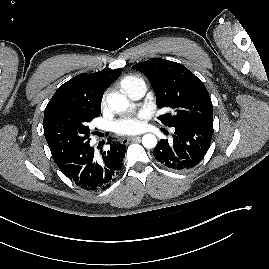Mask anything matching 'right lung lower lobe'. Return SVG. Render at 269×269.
<instances>
[{"mask_svg":"<svg viewBox=\"0 0 269 269\" xmlns=\"http://www.w3.org/2000/svg\"><path fill=\"white\" fill-rule=\"evenodd\" d=\"M108 141L110 149L101 157L94 154V148L87 142L54 161L62 173L79 187L93 191L105 189L120 173L126 148L123 144Z\"/></svg>","mask_w":269,"mask_h":269,"instance_id":"1","label":"right lung lower lobe"}]
</instances>
